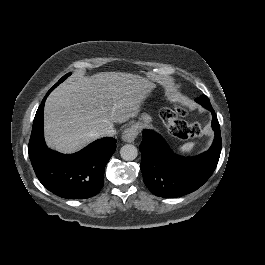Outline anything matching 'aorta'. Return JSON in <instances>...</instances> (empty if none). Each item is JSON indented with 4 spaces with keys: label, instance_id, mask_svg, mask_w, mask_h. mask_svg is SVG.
I'll use <instances>...</instances> for the list:
<instances>
[{
    "label": "aorta",
    "instance_id": "obj_1",
    "mask_svg": "<svg viewBox=\"0 0 265 265\" xmlns=\"http://www.w3.org/2000/svg\"><path fill=\"white\" fill-rule=\"evenodd\" d=\"M137 148L132 144H125L120 149V156L125 161H132L137 157Z\"/></svg>",
    "mask_w": 265,
    "mask_h": 265
}]
</instances>
